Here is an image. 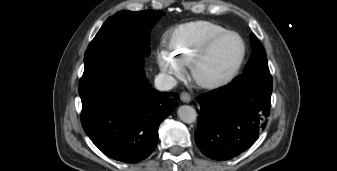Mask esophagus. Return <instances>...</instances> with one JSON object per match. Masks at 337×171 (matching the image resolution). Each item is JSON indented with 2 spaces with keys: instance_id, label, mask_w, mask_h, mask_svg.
Masks as SVG:
<instances>
[{
  "instance_id": "esophagus-1",
  "label": "esophagus",
  "mask_w": 337,
  "mask_h": 171,
  "mask_svg": "<svg viewBox=\"0 0 337 171\" xmlns=\"http://www.w3.org/2000/svg\"><path fill=\"white\" fill-rule=\"evenodd\" d=\"M180 99L184 103H189L191 101V96L187 92H182L180 95Z\"/></svg>"
}]
</instances>
